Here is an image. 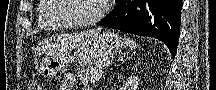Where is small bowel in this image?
<instances>
[{
  "label": "small bowel",
  "mask_w": 216,
  "mask_h": 90,
  "mask_svg": "<svg viewBox=\"0 0 216 90\" xmlns=\"http://www.w3.org/2000/svg\"><path fill=\"white\" fill-rule=\"evenodd\" d=\"M75 82H76L75 76L72 74H67L64 76L59 90H72ZM85 90H89V89L85 88Z\"/></svg>",
  "instance_id": "1"
}]
</instances>
